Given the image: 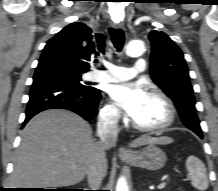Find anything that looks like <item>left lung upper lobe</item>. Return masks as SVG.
<instances>
[{
    "mask_svg": "<svg viewBox=\"0 0 218 191\" xmlns=\"http://www.w3.org/2000/svg\"><path fill=\"white\" fill-rule=\"evenodd\" d=\"M148 37L152 47L150 73L153 81L174 101L184 125L198 136H203L181 49L164 32L153 30Z\"/></svg>",
    "mask_w": 218,
    "mask_h": 191,
    "instance_id": "obj_1",
    "label": "left lung upper lobe"
}]
</instances>
